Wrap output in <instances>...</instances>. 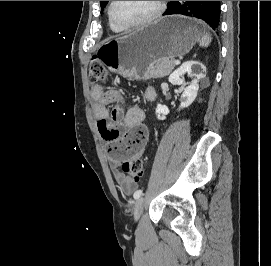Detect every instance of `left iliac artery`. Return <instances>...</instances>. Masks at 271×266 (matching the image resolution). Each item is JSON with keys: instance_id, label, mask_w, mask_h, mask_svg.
Instances as JSON below:
<instances>
[{"instance_id": "1", "label": "left iliac artery", "mask_w": 271, "mask_h": 266, "mask_svg": "<svg viewBox=\"0 0 271 266\" xmlns=\"http://www.w3.org/2000/svg\"><path fill=\"white\" fill-rule=\"evenodd\" d=\"M141 195H142V190L139 189V190H137V191L134 193V198H135V199H138V198L141 197Z\"/></svg>"}]
</instances>
